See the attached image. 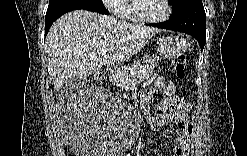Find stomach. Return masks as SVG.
<instances>
[{
  "label": "stomach",
  "mask_w": 247,
  "mask_h": 156,
  "mask_svg": "<svg viewBox=\"0 0 247 156\" xmlns=\"http://www.w3.org/2000/svg\"><path fill=\"white\" fill-rule=\"evenodd\" d=\"M187 49V41L181 36H166L158 41V52L163 59H173L180 56ZM152 65L156 66L157 61L152 60Z\"/></svg>",
  "instance_id": "stomach-1"
}]
</instances>
